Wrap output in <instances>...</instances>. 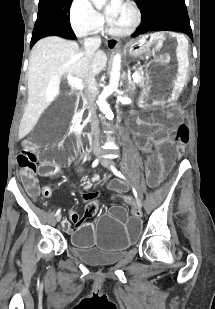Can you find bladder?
I'll return each mask as SVG.
<instances>
[{
  "mask_svg": "<svg viewBox=\"0 0 215 309\" xmlns=\"http://www.w3.org/2000/svg\"><path fill=\"white\" fill-rule=\"evenodd\" d=\"M77 256L88 265L110 266L121 261L124 257V253H77Z\"/></svg>",
  "mask_w": 215,
  "mask_h": 309,
  "instance_id": "1",
  "label": "bladder"
}]
</instances>
